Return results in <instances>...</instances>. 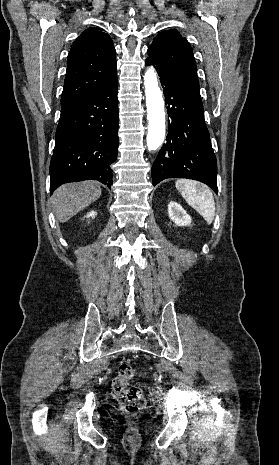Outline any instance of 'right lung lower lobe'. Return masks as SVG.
Returning <instances> with one entry per match:
<instances>
[{
    "label": "right lung lower lobe",
    "instance_id": "98d812e1",
    "mask_svg": "<svg viewBox=\"0 0 279 465\" xmlns=\"http://www.w3.org/2000/svg\"><path fill=\"white\" fill-rule=\"evenodd\" d=\"M117 76L87 100L61 114L50 163V192L61 184L88 179L112 184L117 158Z\"/></svg>",
    "mask_w": 279,
    "mask_h": 465
}]
</instances>
